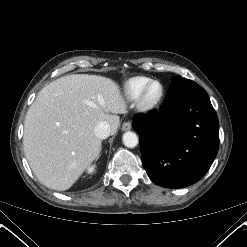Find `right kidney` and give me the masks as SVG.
Here are the masks:
<instances>
[{
	"instance_id": "right-kidney-1",
	"label": "right kidney",
	"mask_w": 247,
	"mask_h": 247,
	"mask_svg": "<svg viewBox=\"0 0 247 247\" xmlns=\"http://www.w3.org/2000/svg\"><path fill=\"white\" fill-rule=\"evenodd\" d=\"M95 170V165H92L88 168V173H92Z\"/></svg>"
}]
</instances>
